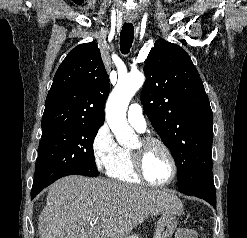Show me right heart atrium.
Masks as SVG:
<instances>
[{
    "mask_svg": "<svg viewBox=\"0 0 247 238\" xmlns=\"http://www.w3.org/2000/svg\"><path fill=\"white\" fill-rule=\"evenodd\" d=\"M119 145L107 123H103L95 132L92 140V154L95 166L106 170L115 158Z\"/></svg>",
    "mask_w": 247,
    "mask_h": 238,
    "instance_id": "right-heart-atrium-1",
    "label": "right heart atrium"
}]
</instances>
